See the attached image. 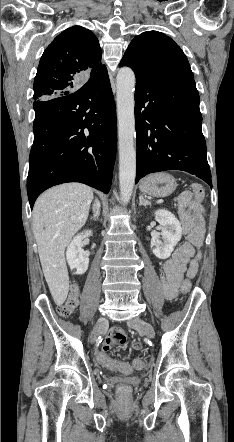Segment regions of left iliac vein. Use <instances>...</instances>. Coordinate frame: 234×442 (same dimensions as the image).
Here are the masks:
<instances>
[{
	"label": "left iliac vein",
	"instance_id": "obj_1",
	"mask_svg": "<svg viewBox=\"0 0 234 442\" xmlns=\"http://www.w3.org/2000/svg\"><path fill=\"white\" fill-rule=\"evenodd\" d=\"M128 325L137 331L144 332L145 335L148 336L149 338L155 337V331L153 326L139 317H135L129 320Z\"/></svg>",
	"mask_w": 234,
	"mask_h": 442
}]
</instances>
